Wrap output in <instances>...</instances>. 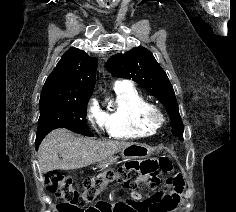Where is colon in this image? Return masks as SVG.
I'll return each mask as SVG.
<instances>
[{
  "instance_id": "colon-1",
  "label": "colon",
  "mask_w": 236,
  "mask_h": 212,
  "mask_svg": "<svg viewBox=\"0 0 236 212\" xmlns=\"http://www.w3.org/2000/svg\"><path fill=\"white\" fill-rule=\"evenodd\" d=\"M171 167L172 165L167 159L144 162L129 161L116 169H106L88 177L81 183L75 182L58 171L48 172L44 182L47 190L64 202L61 212H82L80 208L92 203L109 184L114 182L120 185L137 183L139 186L140 180H146L144 184L151 190H156L162 185L172 190L173 180L160 176L161 171L170 170Z\"/></svg>"
}]
</instances>
